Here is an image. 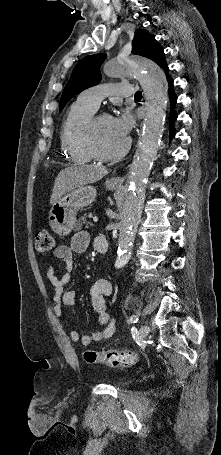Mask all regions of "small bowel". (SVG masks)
<instances>
[{
  "label": "small bowel",
  "mask_w": 221,
  "mask_h": 455,
  "mask_svg": "<svg viewBox=\"0 0 221 455\" xmlns=\"http://www.w3.org/2000/svg\"><path fill=\"white\" fill-rule=\"evenodd\" d=\"M96 239V238H95ZM90 237L87 232H77L71 239L69 246L61 245L55 248L53 255L60 261L63 273L58 276L54 267L47 268L46 276L50 288L54 294L53 312L57 318L62 317V308L75 303L76 294L72 289H66L65 285L70 280L73 269L74 255L83 253L89 246ZM95 245V240H94ZM91 302L93 310L99 316L101 330L91 334L80 336L76 330H70L69 336L73 342H80L87 347L94 342H99L113 336L116 330L114 318L107 311L106 299L112 294V285L106 279L96 280L91 287Z\"/></svg>",
  "instance_id": "obj_1"
}]
</instances>
